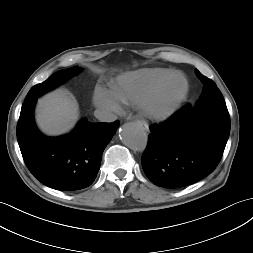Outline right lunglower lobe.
Returning <instances> with one entry per match:
<instances>
[{
	"mask_svg": "<svg viewBox=\"0 0 253 253\" xmlns=\"http://www.w3.org/2000/svg\"><path fill=\"white\" fill-rule=\"evenodd\" d=\"M37 97L23 103L17 124L19 147L30 172L44 185L61 191L88 187L100 168L102 153L119 122L81 120L69 134L46 137L33 119Z\"/></svg>",
	"mask_w": 253,
	"mask_h": 253,
	"instance_id": "1",
	"label": "right lung lower lobe"
}]
</instances>
